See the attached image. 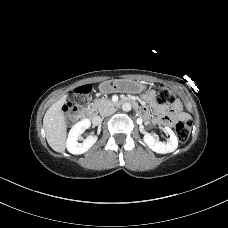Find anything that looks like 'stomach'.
<instances>
[{
    "instance_id": "obj_1",
    "label": "stomach",
    "mask_w": 228,
    "mask_h": 228,
    "mask_svg": "<svg viewBox=\"0 0 228 228\" xmlns=\"http://www.w3.org/2000/svg\"><path fill=\"white\" fill-rule=\"evenodd\" d=\"M146 89L143 83L130 79H115L104 81L99 85L101 93L110 94L116 92L141 93Z\"/></svg>"
}]
</instances>
